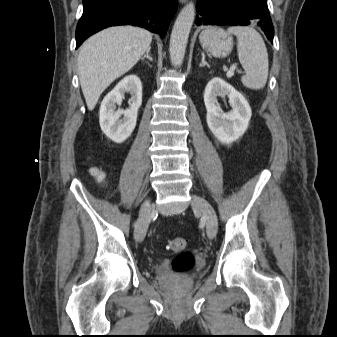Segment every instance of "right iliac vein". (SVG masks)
<instances>
[{"label": "right iliac vein", "instance_id": "obj_1", "mask_svg": "<svg viewBox=\"0 0 337 337\" xmlns=\"http://www.w3.org/2000/svg\"><path fill=\"white\" fill-rule=\"evenodd\" d=\"M153 208V204L150 200H146L139 211V222L134 230V238L138 242H142L145 238L148 225L150 222V215Z\"/></svg>", "mask_w": 337, "mask_h": 337}]
</instances>
